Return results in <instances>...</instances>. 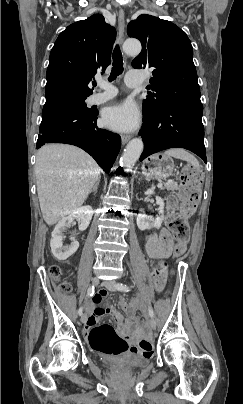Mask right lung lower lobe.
Wrapping results in <instances>:
<instances>
[{"mask_svg":"<svg viewBox=\"0 0 243 404\" xmlns=\"http://www.w3.org/2000/svg\"><path fill=\"white\" fill-rule=\"evenodd\" d=\"M98 111L69 109L42 119L36 148L45 143H67L89 153L109 173L121 147L118 134L99 129Z\"/></svg>","mask_w":243,"mask_h":404,"instance_id":"obj_1","label":"right lung lower lobe"}]
</instances>
